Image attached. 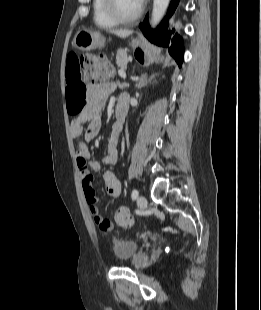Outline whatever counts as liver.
Segmentation results:
<instances>
[{
    "label": "liver",
    "instance_id": "obj_1",
    "mask_svg": "<svg viewBox=\"0 0 261 310\" xmlns=\"http://www.w3.org/2000/svg\"><path fill=\"white\" fill-rule=\"evenodd\" d=\"M112 33H114L115 35L119 36L120 38H126L129 35L132 34L131 30H126V29H120V30H115L112 31Z\"/></svg>",
    "mask_w": 261,
    "mask_h": 310
}]
</instances>
